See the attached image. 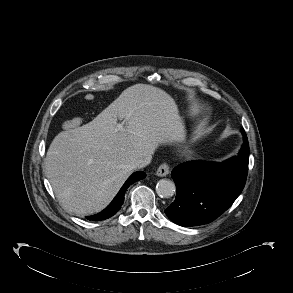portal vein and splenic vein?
I'll use <instances>...</instances> for the list:
<instances>
[{
	"mask_svg": "<svg viewBox=\"0 0 293 293\" xmlns=\"http://www.w3.org/2000/svg\"><path fill=\"white\" fill-rule=\"evenodd\" d=\"M124 123H121V124H118L117 127H118V130L120 131H124V126H123Z\"/></svg>",
	"mask_w": 293,
	"mask_h": 293,
	"instance_id": "portal-vein-and-splenic-vein-1",
	"label": "portal vein and splenic vein"
}]
</instances>
